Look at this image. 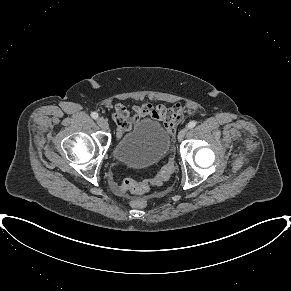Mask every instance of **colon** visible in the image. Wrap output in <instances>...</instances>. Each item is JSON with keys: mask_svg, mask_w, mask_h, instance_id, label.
Masks as SVG:
<instances>
[{"mask_svg": "<svg viewBox=\"0 0 291 291\" xmlns=\"http://www.w3.org/2000/svg\"><path fill=\"white\" fill-rule=\"evenodd\" d=\"M175 170V163L173 158H170L167 163L160 169L158 174L148 180L136 182L132 179L114 180L113 186L119 193L142 194L146 192L149 187L162 185L167 181ZM132 207L136 209H144L148 203L145 199L135 198L131 201Z\"/></svg>", "mask_w": 291, "mask_h": 291, "instance_id": "colon-1", "label": "colon"}]
</instances>
